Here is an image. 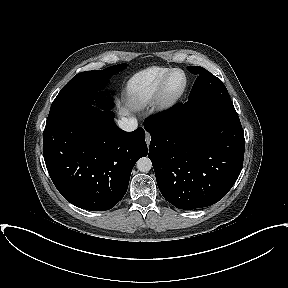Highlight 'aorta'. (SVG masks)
Returning <instances> with one entry per match:
<instances>
[{
    "instance_id": "1",
    "label": "aorta",
    "mask_w": 288,
    "mask_h": 288,
    "mask_svg": "<svg viewBox=\"0 0 288 288\" xmlns=\"http://www.w3.org/2000/svg\"><path fill=\"white\" fill-rule=\"evenodd\" d=\"M137 169L140 171V172H149L152 168V162L151 160L148 158V157H142L140 158L137 163Z\"/></svg>"
}]
</instances>
